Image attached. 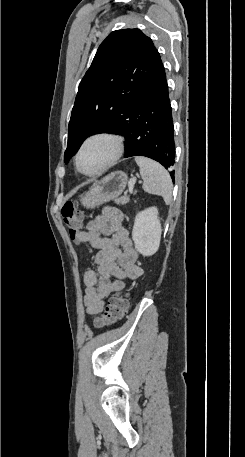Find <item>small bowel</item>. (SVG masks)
I'll return each mask as SVG.
<instances>
[{
  "mask_svg": "<svg viewBox=\"0 0 245 457\" xmlns=\"http://www.w3.org/2000/svg\"><path fill=\"white\" fill-rule=\"evenodd\" d=\"M76 242L90 244L98 249L95 255L97 270L84 273V306L89 314L100 313L106 299L125 287V280L142 276L129 232L124 225L122 212L115 207H105L89 221L86 230L80 231Z\"/></svg>",
  "mask_w": 245,
  "mask_h": 457,
  "instance_id": "obj_1",
  "label": "small bowel"
}]
</instances>
